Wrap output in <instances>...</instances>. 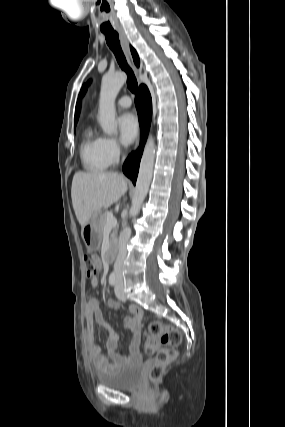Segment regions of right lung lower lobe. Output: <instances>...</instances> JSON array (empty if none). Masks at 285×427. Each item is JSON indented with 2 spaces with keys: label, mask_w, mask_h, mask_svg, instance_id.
<instances>
[{
  "label": "right lung lower lobe",
  "mask_w": 285,
  "mask_h": 427,
  "mask_svg": "<svg viewBox=\"0 0 285 427\" xmlns=\"http://www.w3.org/2000/svg\"><path fill=\"white\" fill-rule=\"evenodd\" d=\"M135 103L138 111L139 121L142 127L141 144L136 152L128 156L123 165L124 174L132 180L133 184L136 183L140 159L148 135L152 115L151 96L148 88L145 85H141L139 87V91L135 98Z\"/></svg>",
  "instance_id": "right-lung-lower-lobe-1"
}]
</instances>
